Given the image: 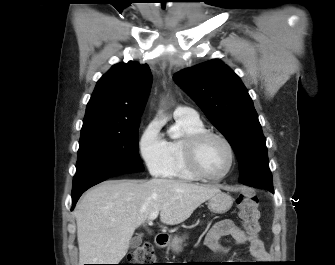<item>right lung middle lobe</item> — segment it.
Wrapping results in <instances>:
<instances>
[{
    "label": "right lung middle lobe",
    "instance_id": "1",
    "mask_svg": "<svg viewBox=\"0 0 335 265\" xmlns=\"http://www.w3.org/2000/svg\"><path fill=\"white\" fill-rule=\"evenodd\" d=\"M139 124L117 131L81 133L73 191L99 179L143 171L138 152Z\"/></svg>",
    "mask_w": 335,
    "mask_h": 265
}]
</instances>
